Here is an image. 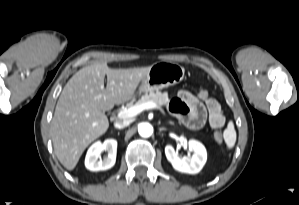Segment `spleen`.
Returning <instances> with one entry per match:
<instances>
[{"label":"spleen","instance_id":"obj_1","mask_svg":"<svg viewBox=\"0 0 299 205\" xmlns=\"http://www.w3.org/2000/svg\"><path fill=\"white\" fill-rule=\"evenodd\" d=\"M224 140L228 149H232L236 142V131L232 122H229L224 131Z\"/></svg>","mask_w":299,"mask_h":205}]
</instances>
